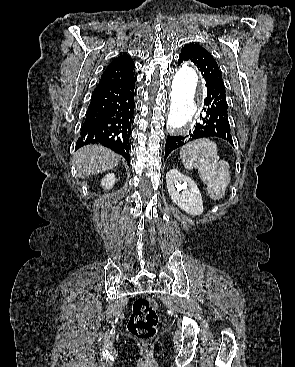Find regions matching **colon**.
I'll return each mask as SVG.
<instances>
[{
  "mask_svg": "<svg viewBox=\"0 0 295 367\" xmlns=\"http://www.w3.org/2000/svg\"><path fill=\"white\" fill-rule=\"evenodd\" d=\"M157 302L151 297H139L133 303L128 330L143 341L151 340L157 332Z\"/></svg>",
  "mask_w": 295,
  "mask_h": 367,
  "instance_id": "colon-1",
  "label": "colon"
}]
</instances>
